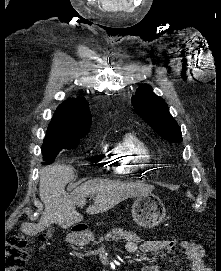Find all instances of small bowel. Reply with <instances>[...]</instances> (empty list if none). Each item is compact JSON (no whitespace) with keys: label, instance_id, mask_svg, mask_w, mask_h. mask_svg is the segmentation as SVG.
<instances>
[{"label":"small bowel","instance_id":"1","mask_svg":"<svg viewBox=\"0 0 221 271\" xmlns=\"http://www.w3.org/2000/svg\"><path fill=\"white\" fill-rule=\"evenodd\" d=\"M125 248L131 254H155L166 251L171 257H177L183 253L192 271H210L203 260L204 250L202 246L187 240L159 239L146 241L141 244L134 240H129ZM141 271H161V268L158 265H146L142 267Z\"/></svg>","mask_w":221,"mask_h":271}]
</instances>
